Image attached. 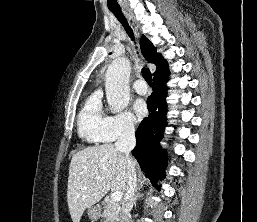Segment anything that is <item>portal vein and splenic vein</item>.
Segmentation results:
<instances>
[{"label":"portal vein and splenic vein","mask_w":257,"mask_h":222,"mask_svg":"<svg viewBox=\"0 0 257 222\" xmlns=\"http://www.w3.org/2000/svg\"><path fill=\"white\" fill-rule=\"evenodd\" d=\"M122 199V192L115 191L111 194V201L118 202Z\"/></svg>","instance_id":"obj_1"}]
</instances>
